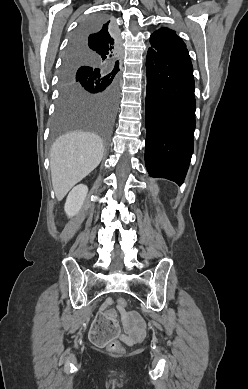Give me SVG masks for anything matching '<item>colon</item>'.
I'll use <instances>...</instances> for the list:
<instances>
[{"label":"colon","mask_w":248,"mask_h":389,"mask_svg":"<svg viewBox=\"0 0 248 389\" xmlns=\"http://www.w3.org/2000/svg\"><path fill=\"white\" fill-rule=\"evenodd\" d=\"M117 303L120 308L127 306V301L124 298H119ZM93 316L96 321L91 323L90 336L95 345L107 344V349L111 354H121L124 350L123 344L120 341L110 342L109 338L121 335V332L117 330L116 318H109L105 311H94Z\"/></svg>","instance_id":"colon-1"}]
</instances>
